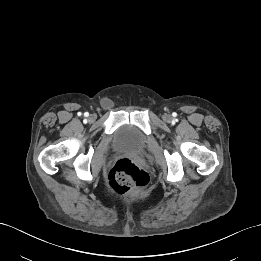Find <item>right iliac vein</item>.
I'll list each match as a JSON object with an SVG mask.
<instances>
[{
    "label": "right iliac vein",
    "mask_w": 261,
    "mask_h": 261,
    "mask_svg": "<svg viewBox=\"0 0 261 261\" xmlns=\"http://www.w3.org/2000/svg\"><path fill=\"white\" fill-rule=\"evenodd\" d=\"M95 119H96V116H95L94 114H92V115L89 116V121H90V122H94Z\"/></svg>",
    "instance_id": "63e3f726"
}]
</instances>
